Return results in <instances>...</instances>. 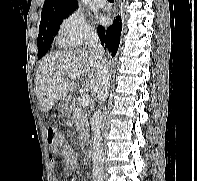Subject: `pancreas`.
<instances>
[{
	"label": "pancreas",
	"mask_w": 197,
	"mask_h": 181,
	"mask_svg": "<svg viewBox=\"0 0 197 181\" xmlns=\"http://www.w3.org/2000/svg\"><path fill=\"white\" fill-rule=\"evenodd\" d=\"M71 123L76 126V130L79 135L80 141H86L89 139V125L87 118V111L82 108L81 103H76L70 109Z\"/></svg>",
	"instance_id": "pancreas-1"
}]
</instances>
